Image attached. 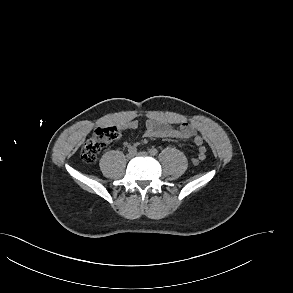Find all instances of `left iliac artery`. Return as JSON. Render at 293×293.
Returning <instances> with one entry per match:
<instances>
[{
    "mask_svg": "<svg viewBox=\"0 0 293 293\" xmlns=\"http://www.w3.org/2000/svg\"><path fill=\"white\" fill-rule=\"evenodd\" d=\"M149 153H150L151 155L155 156V155H157L158 150H157L156 148H151V149L149 150Z\"/></svg>",
    "mask_w": 293,
    "mask_h": 293,
    "instance_id": "left-iliac-artery-1",
    "label": "left iliac artery"
}]
</instances>
